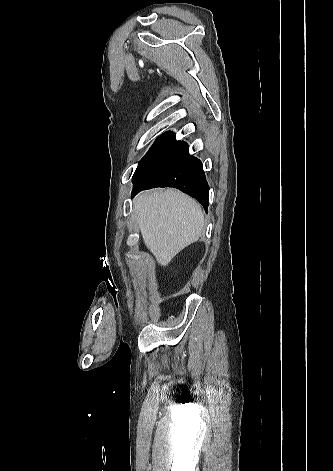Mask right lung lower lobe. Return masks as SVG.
<instances>
[{"label":"right lung lower lobe","mask_w":333,"mask_h":471,"mask_svg":"<svg viewBox=\"0 0 333 471\" xmlns=\"http://www.w3.org/2000/svg\"><path fill=\"white\" fill-rule=\"evenodd\" d=\"M132 196L144 189L174 187L194 197L207 211L209 186L200 160L171 132L160 136L133 175Z\"/></svg>","instance_id":"1"}]
</instances>
